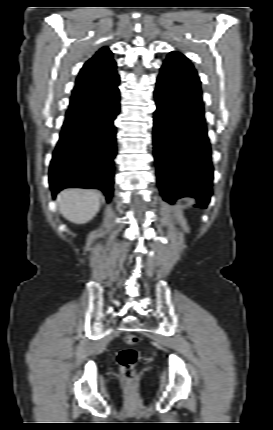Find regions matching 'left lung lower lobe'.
<instances>
[{"instance_id": "left-lung-lower-lobe-1", "label": "left lung lower lobe", "mask_w": 273, "mask_h": 430, "mask_svg": "<svg viewBox=\"0 0 273 430\" xmlns=\"http://www.w3.org/2000/svg\"><path fill=\"white\" fill-rule=\"evenodd\" d=\"M179 78L159 74L155 90L153 144L158 186L173 204L195 197L206 208L212 195L213 166L202 99L178 88Z\"/></svg>"}]
</instances>
